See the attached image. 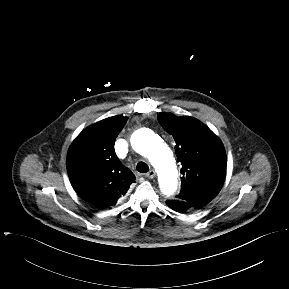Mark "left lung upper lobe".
Instances as JSON below:
<instances>
[{
	"mask_svg": "<svg viewBox=\"0 0 289 289\" xmlns=\"http://www.w3.org/2000/svg\"><path fill=\"white\" fill-rule=\"evenodd\" d=\"M163 129L173 136L181 168L177 199L207 205L220 191L226 177L227 158L221 140L199 120L172 113H157Z\"/></svg>",
	"mask_w": 289,
	"mask_h": 289,
	"instance_id": "left-lung-upper-lobe-1",
	"label": "left lung upper lobe"
}]
</instances>
